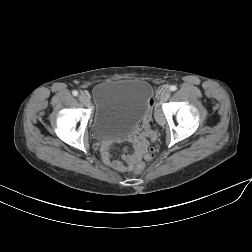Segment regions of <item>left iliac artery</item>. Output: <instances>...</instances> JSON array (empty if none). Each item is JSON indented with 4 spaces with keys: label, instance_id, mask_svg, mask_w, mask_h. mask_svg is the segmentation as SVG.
Listing matches in <instances>:
<instances>
[{
    "label": "left iliac artery",
    "instance_id": "left-iliac-artery-1",
    "mask_svg": "<svg viewBox=\"0 0 252 252\" xmlns=\"http://www.w3.org/2000/svg\"><path fill=\"white\" fill-rule=\"evenodd\" d=\"M170 91H176L177 90V87L175 86V85H172V86H170Z\"/></svg>",
    "mask_w": 252,
    "mask_h": 252
}]
</instances>
